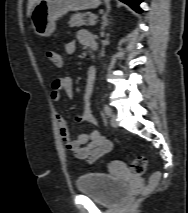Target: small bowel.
Returning <instances> with one entry per match:
<instances>
[{
    "label": "small bowel",
    "instance_id": "obj_1",
    "mask_svg": "<svg viewBox=\"0 0 188 213\" xmlns=\"http://www.w3.org/2000/svg\"><path fill=\"white\" fill-rule=\"evenodd\" d=\"M91 40H94V37L88 31L82 30L78 33V41L82 45L90 46ZM76 48L77 42L70 41L65 45V52L67 55H73ZM51 62L56 66H61L63 64L60 55L59 61L51 60ZM91 72H94L96 75L94 67L88 69L89 82L92 81L89 76ZM61 91L65 92L68 97L73 96L74 88L70 77H62L53 81L50 99L53 102H59L61 100ZM55 118L59 126L61 140L66 150L71 152L75 158L87 161L88 163H94L112 150L113 143L98 130H91L80 134L75 139H71L62 113L56 112ZM76 121L79 123L86 122L93 126L97 125V120L91 112L89 97H86L84 111L76 117Z\"/></svg>",
    "mask_w": 188,
    "mask_h": 213
}]
</instances>
